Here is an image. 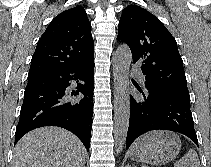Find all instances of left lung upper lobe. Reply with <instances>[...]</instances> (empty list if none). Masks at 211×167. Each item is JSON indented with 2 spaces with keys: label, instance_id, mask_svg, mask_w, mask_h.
<instances>
[{
  "label": "left lung upper lobe",
  "instance_id": "obj_1",
  "mask_svg": "<svg viewBox=\"0 0 211 167\" xmlns=\"http://www.w3.org/2000/svg\"><path fill=\"white\" fill-rule=\"evenodd\" d=\"M141 63L145 86L190 103L183 61L177 42L162 22L147 10L130 5L123 9L118 37Z\"/></svg>",
  "mask_w": 211,
  "mask_h": 167
}]
</instances>
